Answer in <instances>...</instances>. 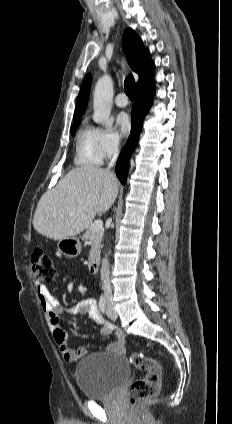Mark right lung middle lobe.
<instances>
[{"instance_id": "right-lung-middle-lobe-1", "label": "right lung middle lobe", "mask_w": 232, "mask_h": 424, "mask_svg": "<svg viewBox=\"0 0 232 424\" xmlns=\"http://www.w3.org/2000/svg\"><path fill=\"white\" fill-rule=\"evenodd\" d=\"M73 120H74V124H73L72 129H71V134L72 135H74L75 128L80 124L79 118H74Z\"/></svg>"}]
</instances>
